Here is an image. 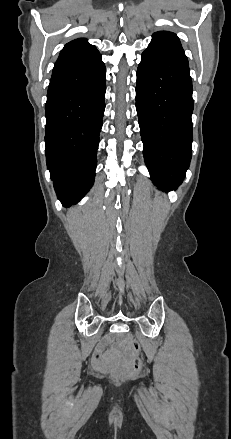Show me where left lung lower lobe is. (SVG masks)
Here are the masks:
<instances>
[{
    "label": "left lung lower lobe",
    "instance_id": "0a47b994",
    "mask_svg": "<svg viewBox=\"0 0 231 439\" xmlns=\"http://www.w3.org/2000/svg\"><path fill=\"white\" fill-rule=\"evenodd\" d=\"M136 110L143 155L163 191L183 181L192 156V80L187 58L146 49L137 70Z\"/></svg>",
    "mask_w": 231,
    "mask_h": 439
}]
</instances>
